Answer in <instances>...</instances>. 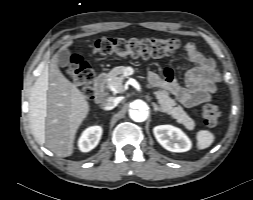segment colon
Returning <instances> with one entry per match:
<instances>
[{
	"instance_id": "obj_1",
	"label": "colon",
	"mask_w": 253,
	"mask_h": 200,
	"mask_svg": "<svg viewBox=\"0 0 253 200\" xmlns=\"http://www.w3.org/2000/svg\"><path fill=\"white\" fill-rule=\"evenodd\" d=\"M180 43L177 39L158 38H104L98 43V50L104 54L110 53H140L153 56H168L177 52ZM72 68L77 82L87 83L92 77L90 65L81 57L77 56L72 61ZM220 117L219 108L207 103L202 109V118L206 125L215 126Z\"/></svg>"
}]
</instances>
